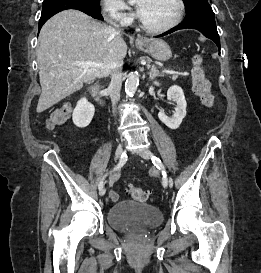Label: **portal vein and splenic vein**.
Masks as SVG:
<instances>
[{
  "mask_svg": "<svg viewBox=\"0 0 261 273\" xmlns=\"http://www.w3.org/2000/svg\"><path fill=\"white\" fill-rule=\"evenodd\" d=\"M77 66H80L82 68H84V70H89L90 68H101L103 67V64H99V63H95V62H91V61H77L75 63ZM162 72L164 73H170V74H177L176 71H173V70H162Z\"/></svg>",
  "mask_w": 261,
  "mask_h": 273,
  "instance_id": "obj_1",
  "label": "portal vein and splenic vein"
}]
</instances>
